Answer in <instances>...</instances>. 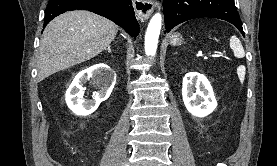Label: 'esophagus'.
Masks as SVG:
<instances>
[{
    "label": "esophagus",
    "mask_w": 277,
    "mask_h": 166,
    "mask_svg": "<svg viewBox=\"0 0 277 166\" xmlns=\"http://www.w3.org/2000/svg\"><path fill=\"white\" fill-rule=\"evenodd\" d=\"M136 15L140 21L147 20L154 10L152 0H132Z\"/></svg>",
    "instance_id": "esophagus-1"
}]
</instances>
